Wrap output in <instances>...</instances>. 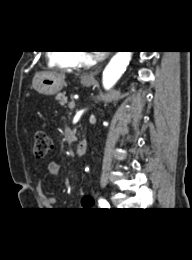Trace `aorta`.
<instances>
[{"mask_svg": "<svg viewBox=\"0 0 192 260\" xmlns=\"http://www.w3.org/2000/svg\"><path fill=\"white\" fill-rule=\"evenodd\" d=\"M131 56L132 53L130 51H119L111 58L102 76L103 87L106 90L113 87L120 79L131 60Z\"/></svg>", "mask_w": 192, "mask_h": 260, "instance_id": "obj_1", "label": "aorta"}]
</instances>
